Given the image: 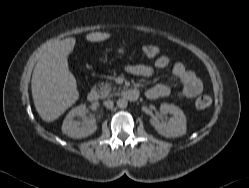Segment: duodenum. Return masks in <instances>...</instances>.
Returning a JSON list of instances; mask_svg holds the SVG:
<instances>
[{"instance_id": "1", "label": "duodenum", "mask_w": 249, "mask_h": 188, "mask_svg": "<svg viewBox=\"0 0 249 188\" xmlns=\"http://www.w3.org/2000/svg\"><path fill=\"white\" fill-rule=\"evenodd\" d=\"M138 90L136 89H128L124 91L123 95L128 100H136L138 98ZM88 101L91 103H95L99 99V93L96 90H92L88 93Z\"/></svg>"}]
</instances>
